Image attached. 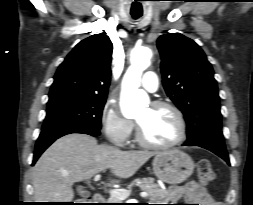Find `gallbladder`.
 <instances>
[{"mask_svg": "<svg viewBox=\"0 0 253 205\" xmlns=\"http://www.w3.org/2000/svg\"><path fill=\"white\" fill-rule=\"evenodd\" d=\"M78 193H79L81 196H84V197H88V196L90 195L89 192L83 191V190H79Z\"/></svg>", "mask_w": 253, "mask_h": 205, "instance_id": "1", "label": "gallbladder"}]
</instances>
